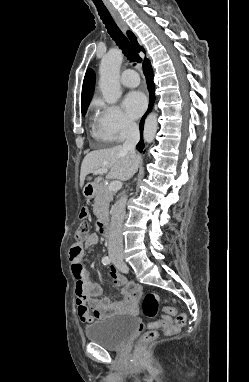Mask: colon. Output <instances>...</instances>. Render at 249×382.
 <instances>
[{
  "label": "colon",
  "instance_id": "5ec220e1",
  "mask_svg": "<svg viewBox=\"0 0 249 382\" xmlns=\"http://www.w3.org/2000/svg\"><path fill=\"white\" fill-rule=\"evenodd\" d=\"M83 214H85V211H83ZM88 236L89 225L87 222L82 221L76 230L75 238L77 242L82 243L87 239ZM159 304L160 297L158 294L154 292L146 293L142 299V312L144 316L150 319L154 318L158 313ZM172 316H175L174 322L172 321ZM185 324L186 316L184 314H177L172 307H165L163 309V315L161 320L158 323L150 322L148 324V327L152 330L145 332L140 337L139 342L140 344H146L153 341L158 335L157 330H155L158 327L163 328L166 334H173L179 331L182 327H184Z\"/></svg>",
  "mask_w": 249,
  "mask_h": 382
}]
</instances>
